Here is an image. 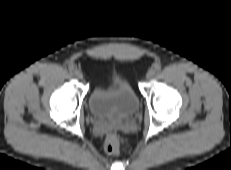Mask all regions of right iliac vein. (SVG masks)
I'll return each mask as SVG.
<instances>
[{
  "instance_id": "63e3f726",
  "label": "right iliac vein",
  "mask_w": 231,
  "mask_h": 170,
  "mask_svg": "<svg viewBox=\"0 0 231 170\" xmlns=\"http://www.w3.org/2000/svg\"><path fill=\"white\" fill-rule=\"evenodd\" d=\"M74 75L78 78V79H83V74L80 70L76 69L74 71Z\"/></svg>"
}]
</instances>
